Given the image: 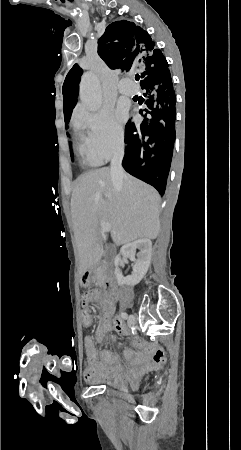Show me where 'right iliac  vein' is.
<instances>
[{"label":"right iliac vein","mask_w":241,"mask_h":450,"mask_svg":"<svg viewBox=\"0 0 241 450\" xmlns=\"http://www.w3.org/2000/svg\"><path fill=\"white\" fill-rule=\"evenodd\" d=\"M134 324H135V318H134L133 315H131V316H129V318H128V326H129V328L133 327Z\"/></svg>","instance_id":"63e3f726"}]
</instances>
